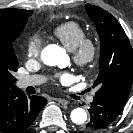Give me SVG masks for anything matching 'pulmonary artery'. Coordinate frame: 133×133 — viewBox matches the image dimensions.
<instances>
[{
	"instance_id": "pulmonary-artery-1",
	"label": "pulmonary artery",
	"mask_w": 133,
	"mask_h": 133,
	"mask_svg": "<svg viewBox=\"0 0 133 133\" xmlns=\"http://www.w3.org/2000/svg\"><path fill=\"white\" fill-rule=\"evenodd\" d=\"M43 82V77L37 75L23 76L18 79L17 87L19 89H25L30 86H35ZM93 98L89 99V102H92Z\"/></svg>"
}]
</instances>
